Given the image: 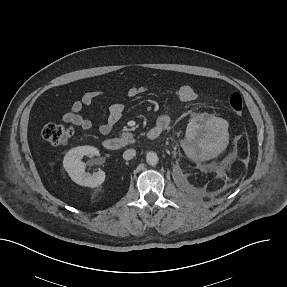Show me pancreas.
I'll return each mask as SVG.
<instances>
[{"label": "pancreas", "mask_w": 287, "mask_h": 287, "mask_svg": "<svg viewBox=\"0 0 287 287\" xmlns=\"http://www.w3.org/2000/svg\"><path fill=\"white\" fill-rule=\"evenodd\" d=\"M121 138L126 141L127 143H134V135L132 133H128V132H123L121 134Z\"/></svg>", "instance_id": "obj_1"}]
</instances>
